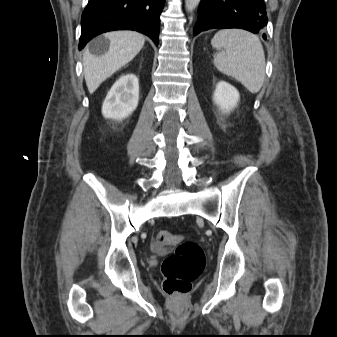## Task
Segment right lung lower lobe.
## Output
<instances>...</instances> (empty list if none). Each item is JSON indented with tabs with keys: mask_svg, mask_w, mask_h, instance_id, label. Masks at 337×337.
<instances>
[{
	"mask_svg": "<svg viewBox=\"0 0 337 337\" xmlns=\"http://www.w3.org/2000/svg\"><path fill=\"white\" fill-rule=\"evenodd\" d=\"M165 0H89L81 18V50L93 37L112 30L128 29L159 43L160 14Z\"/></svg>",
	"mask_w": 337,
	"mask_h": 337,
	"instance_id": "98d812e1",
	"label": "right lung lower lobe"
}]
</instances>
